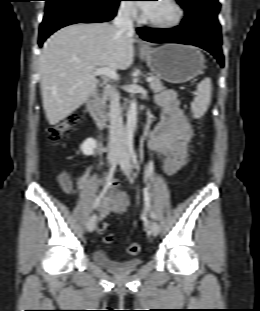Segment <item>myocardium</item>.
Masks as SVG:
<instances>
[{"mask_svg":"<svg viewBox=\"0 0 260 311\" xmlns=\"http://www.w3.org/2000/svg\"><path fill=\"white\" fill-rule=\"evenodd\" d=\"M167 2L173 7L175 11V16L173 19L167 22H156L151 19H149L146 15L143 17L142 21L156 29H161V30H169L178 27L185 16V11L182 7V5L179 3L178 0H167Z\"/></svg>","mask_w":260,"mask_h":311,"instance_id":"myocardium-1","label":"myocardium"}]
</instances>
